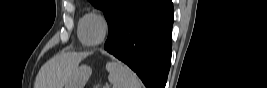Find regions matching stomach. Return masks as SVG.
<instances>
[{
	"mask_svg": "<svg viewBox=\"0 0 267 88\" xmlns=\"http://www.w3.org/2000/svg\"><path fill=\"white\" fill-rule=\"evenodd\" d=\"M92 70L87 65H82L76 69L70 80L66 83L65 88H84L89 79Z\"/></svg>",
	"mask_w": 267,
	"mask_h": 88,
	"instance_id": "1",
	"label": "stomach"
}]
</instances>
